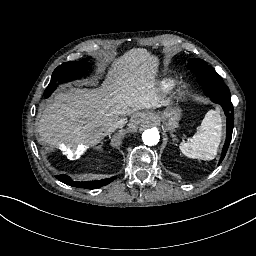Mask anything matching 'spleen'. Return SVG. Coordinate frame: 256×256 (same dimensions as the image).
Listing matches in <instances>:
<instances>
[{
    "label": "spleen",
    "instance_id": "1",
    "mask_svg": "<svg viewBox=\"0 0 256 256\" xmlns=\"http://www.w3.org/2000/svg\"><path fill=\"white\" fill-rule=\"evenodd\" d=\"M222 119L220 109L209 110L202 120L200 128L187 142H181L179 148L188 158L213 160L221 143Z\"/></svg>",
    "mask_w": 256,
    "mask_h": 256
}]
</instances>
